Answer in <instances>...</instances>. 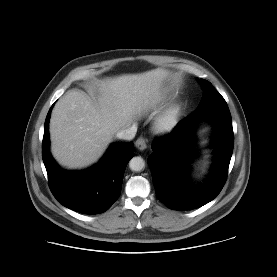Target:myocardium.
<instances>
[{"label":"myocardium","mask_w":277,"mask_h":277,"mask_svg":"<svg viewBox=\"0 0 277 277\" xmlns=\"http://www.w3.org/2000/svg\"><path fill=\"white\" fill-rule=\"evenodd\" d=\"M180 114L181 109L178 106L167 109L157 120L155 131L161 135L170 133L178 124Z\"/></svg>","instance_id":"myocardium-1"}]
</instances>
